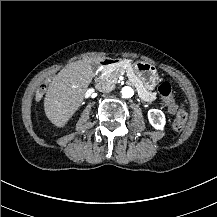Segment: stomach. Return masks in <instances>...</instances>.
Masks as SVG:
<instances>
[{
  "instance_id": "stomach-1",
  "label": "stomach",
  "mask_w": 217,
  "mask_h": 217,
  "mask_svg": "<svg viewBox=\"0 0 217 217\" xmlns=\"http://www.w3.org/2000/svg\"><path fill=\"white\" fill-rule=\"evenodd\" d=\"M133 71L143 82L145 89L149 91L155 89L158 83V74L154 65L148 62L136 61L133 63Z\"/></svg>"
}]
</instances>
